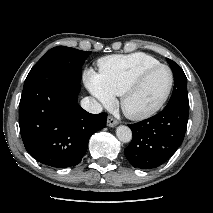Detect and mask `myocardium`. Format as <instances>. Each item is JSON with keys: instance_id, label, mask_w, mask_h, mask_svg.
Returning a JSON list of instances; mask_svg holds the SVG:
<instances>
[{"instance_id": "1", "label": "myocardium", "mask_w": 213, "mask_h": 213, "mask_svg": "<svg viewBox=\"0 0 213 213\" xmlns=\"http://www.w3.org/2000/svg\"><path fill=\"white\" fill-rule=\"evenodd\" d=\"M161 68L166 69L169 72V76H170L169 85L164 95L161 97V99L157 103H155L153 106L143 111L133 112L128 110L126 107V102H127V99L130 97V95L141 85V83L150 73ZM173 85H174V73L168 65L159 63L154 66L148 67L142 70L136 77H134L132 81H130V83L121 92L120 94L121 109L123 110L124 114L130 119H133V120L146 119L154 115L155 113H157L163 107V105L166 103V101L168 100L172 92Z\"/></svg>"}]
</instances>
